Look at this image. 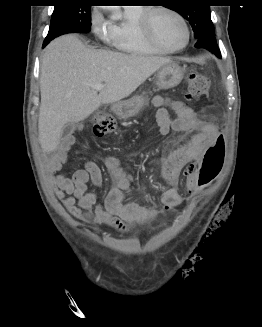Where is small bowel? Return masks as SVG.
Returning a JSON list of instances; mask_svg holds the SVG:
<instances>
[{
  "mask_svg": "<svg viewBox=\"0 0 262 327\" xmlns=\"http://www.w3.org/2000/svg\"><path fill=\"white\" fill-rule=\"evenodd\" d=\"M152 106L156 109L160 135L171 131H196V134L185 145L175 149L162 165L166 189L161 195L160 203H175L178 206L184 200L178 190L181 171L184 169L182 174L186 177L185 187L191 194L195 187L199 186L196 185L195 166L204 165L200 154L204 153L209 143H219L215 139L219 133L213 124L199 121L192 109L182 101L158 96L152 101ZM165 106H170L175 111L176 118L169 116ZM73 143L72 136L64 137L48 166L54 193L73 217L126 232L130 224L148 221L158 214L155 208L128 201L133 178L116 157H110L105 162L106 169L114 181V188L108 193L104 204H98L97 192L88 189L89 184L94 188H99L102 184V172L95 162L87 161L83 169L77 170L71 176L60 172Z\"/></svg>",
  "mask_w": 262,
  "mask_h": 327,
  "instance_id": "c3829d8e",
  "label": "small bowel"
}]
</instances>
